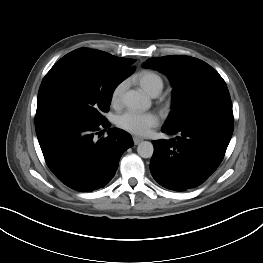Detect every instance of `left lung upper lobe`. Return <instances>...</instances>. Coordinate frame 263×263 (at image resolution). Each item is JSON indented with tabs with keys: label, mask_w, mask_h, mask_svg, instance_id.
<instances>
[{
	"label": "left lung upper lobe",
	"mask_w": 263,
	"mask_h": 263,
	"mask_svg": "<svg viewBox=\"0 0 263 263\" xmlns=\"http://www.w3.org/2000/svg\"><path fill=\"white\" fill-rule=\"evenodd\" d=\"M143 66L164 73L173 86L172 111L164 126L184 124L211 114L233 117L225 81L204 61L173 55L149 58Z\"/></svg>",
	"instance_id": "obj_1"
}]
</instances>
